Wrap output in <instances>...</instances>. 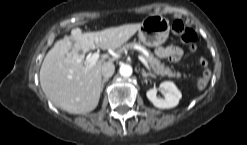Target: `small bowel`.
Returning <instances> with one entry per match:
<instances>
[{
  "label": "small bowel",
  "mask_w": 247,
  "mask_h": 145,
  "mask_svg": "<svg viewBox=\"0 0 247 145\" xmlns=\"http://www.w3.org/2000/svg\"><path fill=\"white\" fill-rule=\"evenodd\" d=\"M189 51L195 52L196 47L194 45L190 46ZM156 54L161 58H167L172 62H176L183 56V50L178 46L158 47Z\"/></svg>",
  "instance_id": "1"
}]
</instances>
